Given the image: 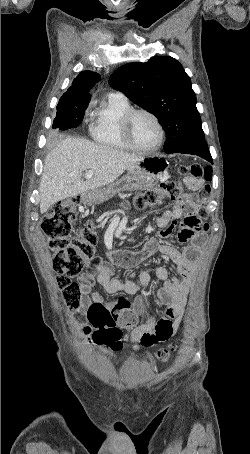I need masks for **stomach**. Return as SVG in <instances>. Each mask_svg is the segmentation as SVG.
I'll use <instances>...</instances> for the list:
<instances>
[{"label": "stomach", "mask_w": 250, "mask_h": 454, "mask_svg": "<svg viewBox=\"0 0 250 454\" xmlns=\"http://www.w3.org/2000/svg\"><path fill=\"white\" fill-rule=\"evenodd\" d=\"M166 174V162L157 157L146 158L132 165L128 174L116 183L104 188L88 190L81 195L85 205L102 203L125 189H148L162 181Z\"/></svg>", "instance_id": "1"}]
</instances>
